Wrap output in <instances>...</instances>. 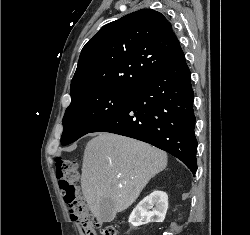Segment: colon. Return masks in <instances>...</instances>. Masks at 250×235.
Returning a JSON list of instances; mask_svg holds the SVG:
<instances>
[{"label":"colon","mask_w":250,"mask_h":235,"mask_svg":"<svg viewBox=\"0 0 250 235\" xmlns=\"http://www.w3.org/2000/svg\"><path fill=\"white\" fill-rule=\"evenodd\" d=\"M56 175L64 201L69 205L71 217L80 223L85 235H94L98 223L89 214L87 206L77 186L79 168L77 162L64 158L55 160ZM102 235H117V228L108 225L101 230Z\"/></svg>","instance_id":"1"}]
</instances>
